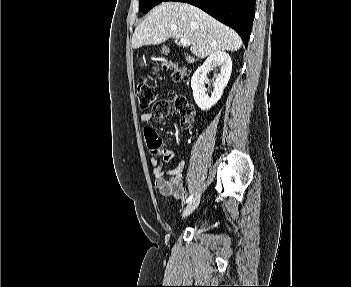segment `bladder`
<instances>
[{
  "label": "bladder",
  "mask_w": 351,
  "mask_h": 287,
  "mask_svg": "<svg viewBox=\"0 0 351 287\" xmlns=\"http://www.w3.org/2000/svg\"><path fill=\"white\" fill-rule=\"evenodd\" d=\"M196 229L199 230V231H204L207 229V224L205 222H199L197 225H196Z\"/></svg>",
  "instance_id": "1"
}]
</instances>
